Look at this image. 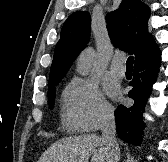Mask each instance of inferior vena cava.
I'll return each mask as SVG.
<instances>
[{"mask_svg":"<svg viewBox=\"0 0 168 162\" xmlns=\"http://www.w3.org/2000/svg\"><path fill=\"white\" fill-rule=\"evenodd\" d=\"M100 128L102 141L110 154V162H119L120 150L115 137L116 125L113 109L104 110Z\"/></svg>","mask_w":168,"mask_h":162,"instance_id":"1","label":"inferior vena cava"}]
</instances>
